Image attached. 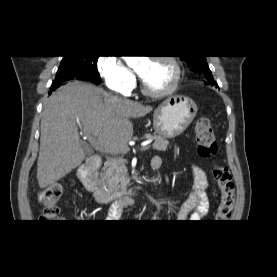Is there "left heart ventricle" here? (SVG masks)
<instances>
[{
    "instance_id": "1",
    "label": "left heart ventricle",
    "mask_w": 277,
    "mask_h": 277,
    "mask_svg": "<svg viewBox=\"0 0 277 277\" xmlns=\"http://www.w3.org/2000/svg\"><path fill=\"white\" fill-rule=\"evenodd\" d=\"M137 70L145 85L154 91L167 88L173 78L172 68L164 61L145 60Z\"/></svg>"
}]
</instances>
